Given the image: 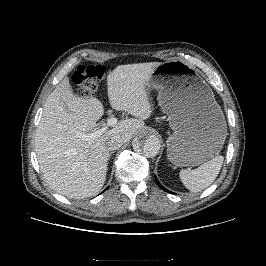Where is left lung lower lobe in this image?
<instances>
[{"instance_id": "1", "label": "left lung lower lobe", "mask_w": 266, "mask_h": 266, "mask_svg": "<svg viewBox=\"0 0 266 266\" xmlns=\"http://www.w3.org/2000/svg\"><path fill=\"white\" fill-rule=\"evenodd\" d=\"M155 180H156L157 185H158L162 190H164L165 192L170 193L169 190H167L165 187H163V186L159 183V181L157 180V178H155ZM171 193H172V192H171Z\"/></svg>"}]
</instances>
